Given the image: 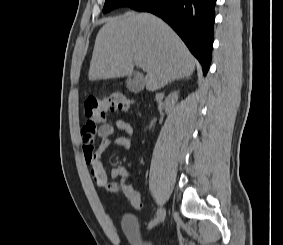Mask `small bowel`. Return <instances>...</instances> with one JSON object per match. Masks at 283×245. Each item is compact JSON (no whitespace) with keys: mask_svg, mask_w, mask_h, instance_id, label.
<instances>
[{"mask_svg":"<svg viewBox=\"0 0 283 245\" xmlns=\"http://www.w3.org/2000/svg\"><path fill=\"white\" fill-rule=\"evenodd\" d=\"M116 129L124 135L114 136ZM134 134L133 127L123 119L115 122V127L109 123L86 122L81 129V140L83 146V155L86 163L90 166L91 174L95 181V185L99 189H105L112 193H121L120 182L117 178H127L132 172L128 168L119 166L111 171V182L108 181L104 170L102 159L104 154L113 146L129 149ZM99 144L95 147L96 141Z\"/></svg>","mask_w":283,"mask_h":245,"instance_id":"obj_1","label":"small bowel"}]
</instances>
